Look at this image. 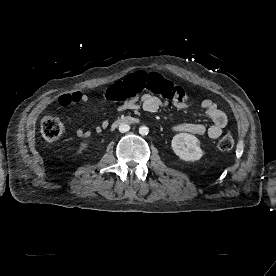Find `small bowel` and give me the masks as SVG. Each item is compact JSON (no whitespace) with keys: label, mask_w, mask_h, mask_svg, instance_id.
Wrapping results in <instances>:
<instances>
[{"label":"small bowel","mask_w":276,"mask_h":276,"mask_svg":"<svg viewBox=\"0 0 276 276\" xmlns=\"http://www.w3.org/2000/svg\"><path fill=\"white\" fill-rule=\"evenodd\" d=\"M89 97L86 93L81 91H74L71 93H64L59 97V103L63 107H67L74 104L87 103ZM166 102H162L158 97L151 94H144L136 96L131 99H127L121 102L117 107V111H123L127 109H138L154 113L159 110ZM178 108H183L185 105L175 104ZM204 114L211 120L212 124L209 127L198 123H183L175 126L174 130L177 132H186L195 135H208L212 139H217L221 136L224 128L228 124V118L224 111L218 108V106L211 100L206 99L201 104ZM66 120L71 125H74V120L67 116ZM106 127L105 122L95 127L96 132H101ZM91 130L82 127L77 128L76 135L79 138H88L91 135Z\"/></svg>","instance_id":"obj_1"}]
</instances>
